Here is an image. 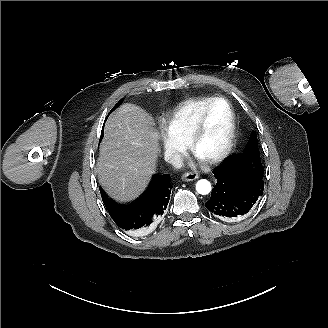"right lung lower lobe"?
<instances>
[{
	"label": "right lung lower lobe",
	"mask_w": 328,
	"mask_h": 328,
	"mask_svg": "<svg viewBox=\"0 0 328 328\" xmlns=\"http://www.w3.org/2000/svg\"><path fill=\"white\" fill-rule=\"evenodd\" d=\"M169 175L155 176L145 193L134 203L119 204L109 199L100 187L103 203L117 226L125 231L147 228L166 209L171 193Z\"/></svg>",
	"instance_id": "obj_1"
}]
</instances>
